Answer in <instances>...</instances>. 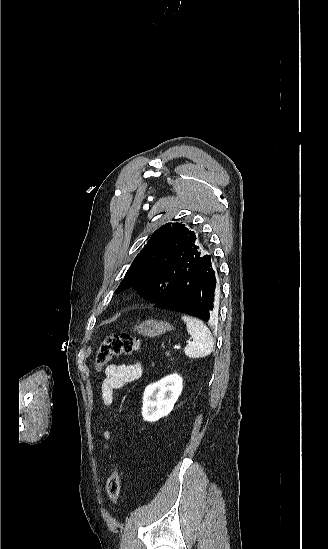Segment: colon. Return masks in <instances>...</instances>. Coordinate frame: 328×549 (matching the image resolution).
I'll use <instances>...</instances> for the list:
<instances>
[{"instance_id": "5ec220e1", "label": "colon", "mask_w": 328, "mask_h": 549, "mask_svg": "<svg viewBox=\"0 0 328 549\" xmlns=\"http://www.w3.org/2000/svg\"><path fill=\"white\" fill-rule=\"evenodd\" d=\"M140 345L141 340L130 334H112L101 343L97 350L95 357L96 367H103L115 356L131 354L137 351ZM106 487L109 500L112 504H116L120 496L121 484L119 473L114 464H111V471Z\"/></svg>"}]
</instances>
